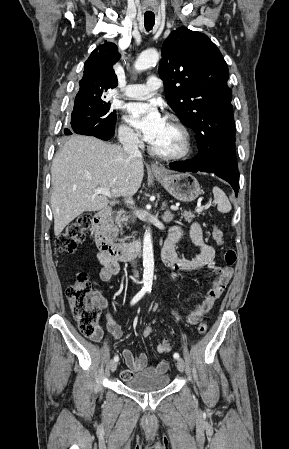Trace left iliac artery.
<instances>
[{
	"instance_id": "44dca946",
	"label": "left iliac artery",
	"mask_w": 289,
	"mask_h": 449,
	"mask_svg": "<svg viewBox=\"0 0 289 449\" xmlns=\"http://www.w3.org/2000/svg\"><path fill=\"white\" fill-rule=\"evenodd\" d=\"M149 291H151V290H149ZM173 357H174L175 359H179V358H180V355H179L178 353H174Z\"/></svg>"
}]
</instances>
